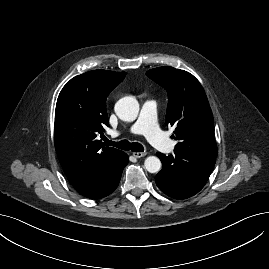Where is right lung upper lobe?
Returning <instances> with one entry per match:
<instances>
[{
	"label": "right lung upper lobe",
	"instance_id": "right-lung-upper-lobe-1",
	"mask_svg": "<svg viewBox=\"0 0 269 269\" xmlns=\"http://www.w3.org/2000/svg\"><path fill=\"white\" fill-rule=\"evenodd\" d=\"M125 72L93 70L72 78L61 90L55 110V148L74 185L112 167L123 151L105 147L97 136L109 126L106 98Z\"/></svg>",
	"mask_w": 269,
	"mask_h": 269
}]
</instances>
